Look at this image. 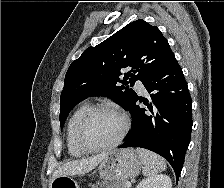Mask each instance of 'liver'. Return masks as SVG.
Segmentation results:
<instances>
[{"label":"liver","mask_w":224,"mask_h":188,"mask_svg":"<svg viewBox=\"0 0 224 188\" xmlns=\"http://www.w3.org/2000/svg\"><path fill=\"white\" fill-rule=\"evenodd\" d=\"M107 156L108 153H102L92 157L68 161L64 164H61L58 169L53 173L51 182L54 178L58 176H72L87 173L94 169L98 164H100Z\"/></svg>","instance_id":"1"}]
</instances>
